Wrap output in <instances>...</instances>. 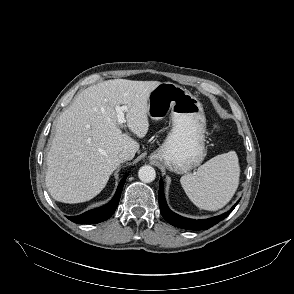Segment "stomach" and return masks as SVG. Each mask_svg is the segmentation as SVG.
<instances>
[{"label": "stomach", "instance_id": "obj_1", "mask_svg": "<svg viewBox=\"0 0 294 294\" xmlns=\"http://www.w3.org/2000/svg\"><path fill=\"white\" fill-rule=\"evenodd\" d=\"M170 112L172 129L150 159L177 174L197 167L205 157L206 119L202 104L171 82L160 83L149 94L148 115L161 120Z\"/></svg>", "mask_w": 294, "mask_h": 294}]
</instances>
